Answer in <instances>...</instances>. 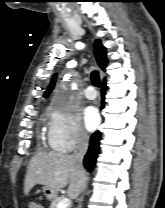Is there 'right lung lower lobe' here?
<instances>
[{
	"label": "right lung lower lobe",
	"instance_id": "right-lung-lower-lobe-1",
	"mask_svg": "<svg viewBox=\"0 0 165 208\" xmlns=\"http://www.w3.org/2000/svg\"><path fill=\"white\" fill-rule=\"evenodd\" d=\"M102 107L104 106V96L107 89L106 82H103L102 86ZM101 140V133L96 131L90 138V145L87 154L84 158L85 167L91 171L95 165V161L99 152V144Z\"/></svg>",
	"mask_w": 165,
	"mask_h": 208
}]
</instances>
